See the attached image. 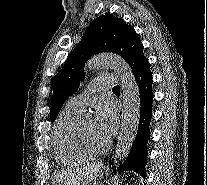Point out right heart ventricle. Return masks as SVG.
Listing matches in <instances>:
<instances>
[{"label":"right heart ventricle","instance_id":"obj_1","mask_svg":"<svg viewBox=\"0 0 207 185\" xmlns=\"http://www.w3.org/2000/svg\"><path fill=\"white\" fill-rule=\"evenodd\" d=\"M79 115L65 109L53 130L52 141L56 156L61 163L67 165L88 162L95 156L84 149L77 138Z\"/></svg>","mask_w":207,"mask_h":185}]
</instances>
